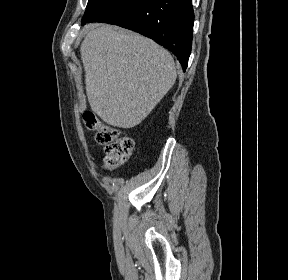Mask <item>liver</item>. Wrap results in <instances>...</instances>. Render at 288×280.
<instances>
[{"label": "liver", "instance_id": "6515ba94", "mask_svg": "<svg viewBox=\"0 0 288 280\" xmlns=\"http://www.w3.org/2000/svg\"><path fill=\"white\" fill-rule=\"evenodd\" d=\"M80 53L90 107L112 126L132 128L141 123L177 78L166 49L110 25L91 29Z\"/></svg>", "mask_w": 288, "mask_h": 280}]
</instances>
